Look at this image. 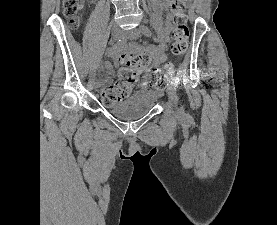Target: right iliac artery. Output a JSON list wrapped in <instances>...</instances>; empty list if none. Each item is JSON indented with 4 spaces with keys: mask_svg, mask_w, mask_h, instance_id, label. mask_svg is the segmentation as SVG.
<instances>
[{
    "mask_svg": "<svg viewBox=\"0 0 277 225\" xmlns=\"http://www.w3.org/2000/svg\"><path fill=\"white\" fill-rule=\"evenodd\" d=\"M125 43H126V39L125 38H120V39H118V41H116V40L111 41L110 47L116 49L118 47L123 46ZM99 80H100L99 73H95L94 81L98 82Z\"/></svg>",
    "mask_w": 277,
    "mask_h": 225,
    "instance_id": "right-iliac-artery-1",
    "label": "right iliac artery"
}]
</instances>
